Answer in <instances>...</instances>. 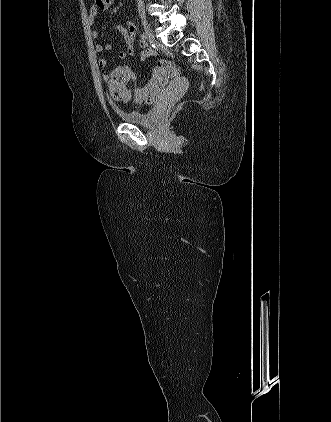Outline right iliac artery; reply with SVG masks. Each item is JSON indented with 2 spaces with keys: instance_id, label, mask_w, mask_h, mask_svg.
I'll use <instances>...</instances> for the list:
<instances>
[{
  "instance_id": "obj_1",
  "label": "right iliac artery",
  "mask_w": 331,
  "mask_h": 422,
  "mask_svg": "<svg viewBox=\"0 0 331 422\" xmlns=\"http://www.w3.org/2000/svg\"><path fill=\"white\" fill-rule=\"evenodd\" d=\"M146 35L143 33V34H141V39L143 40V41H145L146 40Z\"/></svg>"
}]
</instances>
